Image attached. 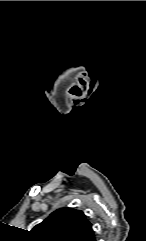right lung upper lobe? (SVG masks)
Listing matches in <instances>:
<instances>
[{"label":"right lung upper lobe","mask_w":146,"mask_h":241,"mask_svg":"<svg viewBox=\"0 0 146 241\" xmlns=\"http://www.w3.org/2000/svg\"><path fill=\"white\" fill-rule=\"evenodd\" d=\"M32 241H96L92 224L84 213L73 208H60L30 232Z\"/></svg>","instance_id":"1"}]
</instances>
